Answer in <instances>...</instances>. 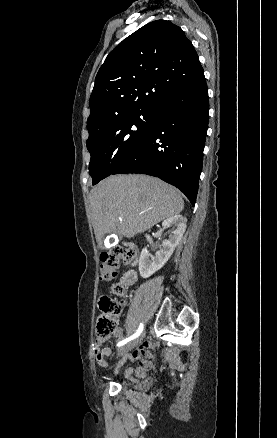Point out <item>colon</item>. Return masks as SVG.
I'll use <instances>...</instances> for the list:
<instances>
[{
	"instance_id": "1",
	"label": "colon",
	"mask_w": 277,
	"mask_h": 438,
	"mask_svg": "<svg viewBox=\"0 0 277 438\" xmlns=\"http://www.w3.org/2000/svg\"><path fill=\"white\" fill-rule=\"evenodd\" d=\"M136 248H125L113 246L106 251L102 257V264L98 266L99 280L102 283H113L117 277V267L119 261H132L133 257L138 256ZM115 293H120L119 285H114L111 289ZM99 307V317L94 318V341L101 342L103 337L114 334L115 328L121 327L120 315L122 305L111 296H102L95 300Z\"/></svg>"
}]
</instances>
